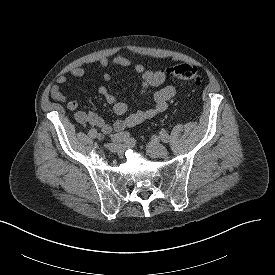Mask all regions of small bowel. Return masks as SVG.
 I'll return each mask as SVG.
<instances>
[{
  "mask_svg": "<svg viewBox=\"0 0 275 275\" xmlns=\"http://www.w3.org/2000/svg\"><path fill=\"white\" fill-rule=\"evenodd\" d=\"M98 64L102 68L108 66L128 67L132 64V61L122 56L115 57L111 60L102 57L98 60ZM134 71L141 78V95L143 97L152 98L153 104L146 109L127 113L128 105L126 102L118 99V97L111 93L107 87H98L97 90L99 94H101L105 101L112 106L113 113L117 116H121L112 125L106 123L95 112L78 109V101L67 98L60 87L68 81L65 75H60L56 79V84L51 87L50 94L54 100L65 103L68 110L76 111L75 119L78 123L95 126L105 135H109L113 131L122 132L127 128L134 127L162 114L167 109L168 102L175 97L177 92L176 86L172 82L167 81L166 74L162 69L151 70L147 69L143 64L138 63L134 66ZM69 74L73 77L80 78L86 74V71L81 67H75L69 70ZM102 78L104 81L108 82L111 80V74L105 72ZM158 86L162 87L154 92L151 91L152 88Z\"/></svg>",
  "mask_w": 275,
  "mask_h": 275,
  "instance_id": "1",
  "label": "small bowel"
}]
</instances>
